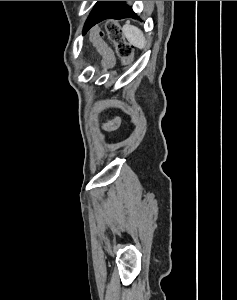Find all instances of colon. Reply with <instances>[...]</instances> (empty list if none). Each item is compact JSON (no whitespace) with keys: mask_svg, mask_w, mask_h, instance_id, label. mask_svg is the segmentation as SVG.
<instances>
[{"mask_svg":"<svg viewBox=\"0 0 237 300\" xmlns=\"http://www.w3.org/2000/svg\"><path fill=\"white\" fill-rule=\"evenodd\" d=\"M106 33L110 41L114 44L116 53L122 63L129 65L133 56V48L125 40L119 23L115 20L107 22ZM90 39L92 44L100 51L103 64L109 65L111 62V53L102 40V33L99 30L94 29L91 32Z\"/></svg>","mask_w":237,"mask_h":300,"instance_id":"5ec220e1","label":"colon"}]
</instances>
